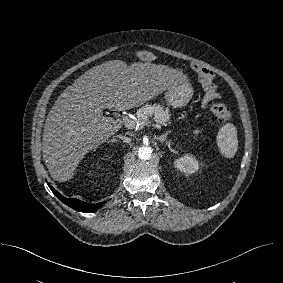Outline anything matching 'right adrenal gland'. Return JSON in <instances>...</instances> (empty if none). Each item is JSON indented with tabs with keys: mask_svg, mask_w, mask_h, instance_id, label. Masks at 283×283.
<instances>
[{
	"mask_svg": "<svg viewBox=\"0 0 283 283\" xmlns=\"http://www.w3.org/2000/svg\"><path fill=\"white\" fill-rule=\"evenodd\" d=\"M109 142H118V140L115 139V138H113V139H111L110 141H108V143H109Z\"/></svg>",
	"mask_w": 283,
	"mask_h": 283,
	"instance_id": "obj_1",
	"label": "right adrenal gland"
}]
</instances>
